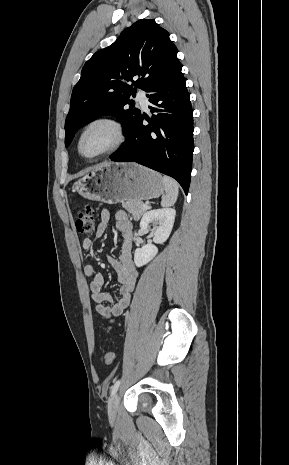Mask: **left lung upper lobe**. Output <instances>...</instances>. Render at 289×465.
<instances>
[{"mask_svg":"<svg viewBox=\"0 0 289 465\" xmlns=\"http://www.w3.org/2000/svg\"><path fill=\"white\" fill-rule=\"evenodd\" d=\"M177 52L168 32L153 19L135 22L113 44L96 52L85 63L73 88L65 146L81 126L102 115L122 118L127 136L141 114L132 104L131 95L137 88L146 91L181 66Z\"/></svg>","mask_w":289,"mask_h":465,"instance_id":"left-lung-upper-lobe-1","label":"left lung upper lobe"}]
</instances>
